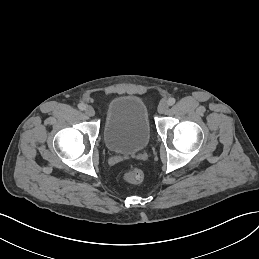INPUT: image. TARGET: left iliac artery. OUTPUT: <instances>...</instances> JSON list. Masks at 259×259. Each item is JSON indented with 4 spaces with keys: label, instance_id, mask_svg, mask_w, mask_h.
<instances>
[{
    "label": "left iliac artery",
    "instance_id": "left-iliac-artery-1",
    "mask_svg": "<svg viewBox=\"0 0 259 259\" xmlns=\"http://www.w3.org/2000/svg\"><path fill=\"white\" fill-rule=\"evenodd\" d=\"M175 102H176V100H175V98H173V97L169 98L168 101H167V103H168L169 106L174 105Z\"/></svg>",
    "mask_w": 259,
    "mask_h": 259
}]
</instances>
